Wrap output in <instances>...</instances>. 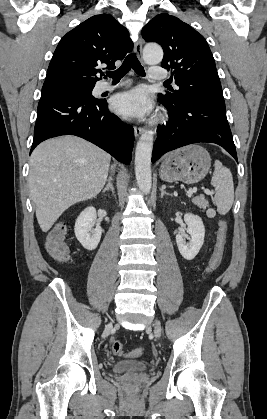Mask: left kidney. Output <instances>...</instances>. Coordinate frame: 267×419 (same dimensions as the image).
I'll list each match as a JSON object with an SVG mask.
<instances>
[{"label": "left kidney", "mask_w": 267, "mask_h": 419, "mask_svg": "<svg viewBox=\"0 0 267 419\" xmlns=\"http://www.w3.org/2000/svg\"><path fill=\"white\" fill-rule=\"evenodd\" d=\"M184 221L187 224V233L190 235V242H185V233L176 235V243L180 254L186 260H192L200 251L205 236V228L202 219L192 213L184 215Z\"/></svg>", "instance_id": "obj_1"}]
</instances>
